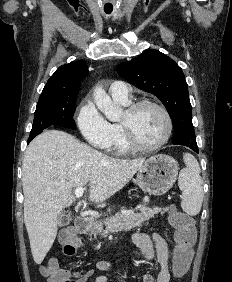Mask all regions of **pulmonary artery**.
Here are the masks:
<instances>
[{"label": "pulmonary artery", "mask_w": 232, "mask_h": 282, "mask_svg": "<svg viewBox=\"0 0 232 282\" xmlns=\"http://www.w3.org/2000/svg\"><path fill=\"white\" fill-rule=\"evenodd\" d=\"M110 94L115 100L128 101L130 95V87L122 81H115L110 86Z\"/></svg>", "instance_id": "pulmonary-artery-1"}]
</instances>
